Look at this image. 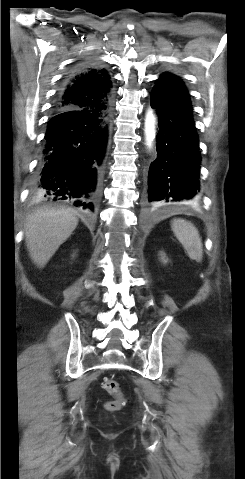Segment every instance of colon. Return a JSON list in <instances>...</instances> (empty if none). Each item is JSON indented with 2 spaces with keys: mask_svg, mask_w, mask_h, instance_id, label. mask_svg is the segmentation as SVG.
<instances>
[{
  "mask_svg": "<svg viewBox=\"0 0 245 479\" xmlns=\"http://www.w3.org/2000/svg\"><path fill=\"white\" fill-rule=\"evenodd\" d=\"M103 388L106 390V392L115 397V400L106 404V408L109 411H117L121 409L125 404V398L122 394L119 383L114 379L106 378L103 381Z\"/></svg>",
  "mask_w": 245,
  "mask_h": 479,
  "instance_id": "1",
  "label": "colon"
}]
</instances>
